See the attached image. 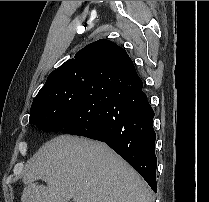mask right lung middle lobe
Listing matches in <instances>:
<instances>
[{
    "instance_id": "obj_1",
    "label": "right lung middle lobe",
    "mask_w": 209,
    "mask_h": 202,
    "mask_svg": "<svg viewBox=\"0 0 209 202\" xmlns=\"http://www.w3.org/2000/svg\"><path fill=\"white\" fill-rule=\"evenodd\" d=\"M93 80L90 74L76 73L46 82L32 103L30 123L46 132L62 130L81 106L87 86Z\"/></svg>"
}]
</instances>
